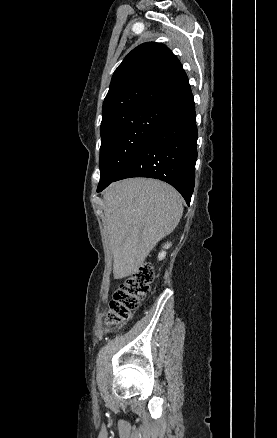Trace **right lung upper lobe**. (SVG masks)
<instances>
[{
	"instance_id": "cb5924a9",
	"label": "right lung upper lobe",
	"mask_w": 277,
	"mask_h": 438,
	"mask_svg": "<svg viewBox=\"0 0 277 438\" xmlns=\"http://www.w3.org/2000/svg\"><path fill=\"white\" fill-rule=\"evenodd\" d=\"M191 92L177 57L163 44L148 42L132 50L115 70L103 103V118L166 110Z\"/></svg>"
}]
</instances>
